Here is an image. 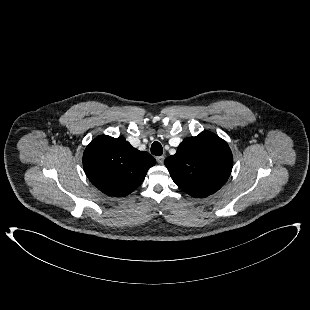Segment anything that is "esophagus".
I'll list each match as a JSON object with an SVG mask.
<instances>
[{"label": "esophagus", "mask_w": 310, "mask_h": 310, "mask_svg": "<svg viewBox=\"0 0 310 310\" xmlns=\"http://www.w3.org/2000/svg\"><path fill=\"white\" fill-rule=\"evenodd\" d=\"M156 160H157V162H158L159 164H163V162H164V156H158V157H156Z\"/></svg>", "instance_id": "obj_1"}]
</instances>
